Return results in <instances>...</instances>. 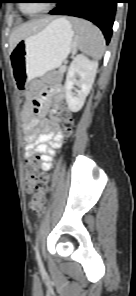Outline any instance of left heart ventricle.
Segmentation results:
<instances>
[{"label":"left heart ventricle","mask_w":136,"mask_h":296,"mask_svg":"<svg viewBox=\"0 0 136 296\" xmlns=\"http://www.w3.org/2000/svg\"><path fill=\"white\" fill-rule=\"evenodd\" d=\"M47 4L48 3L43 1L31 0V1H28V3H26V6L30 11L36 12L43 9Z\"/></svg>","instance_id":"obj_1"}]
</instances>
